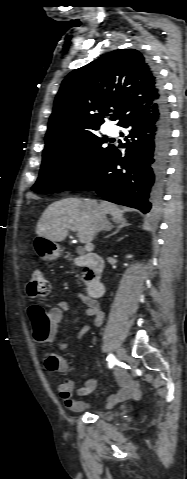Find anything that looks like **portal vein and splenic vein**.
I'll return each instance as SVG.
<instances>
[{"instance_id": "1", "label": "portal vein and splenic vein", "mask_w": 187, "mask_h": 479, "mask_svg": "<svg viewBox=\"0 0 187 479\" xmlns=\"http://www.w3.org/2000/svg\"><path fill=\"white\" fill-rule=\"evenodd\" d=\"M68 229L74 231V229L71 228V227H69ZM85 250L88 251V252L92 251V250H93V244H91V243H86V245H85Z\"/></svg>"}]
</instances>
